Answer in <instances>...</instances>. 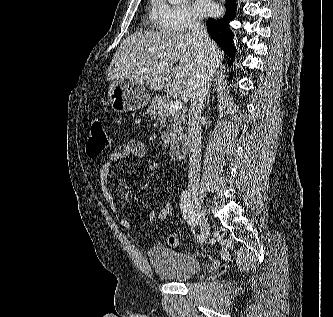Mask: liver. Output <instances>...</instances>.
Wrapping results in <instances>:
<instances>
[{"label": "liver", "instance_id": "liver-1", "mask_svg": "<svg viewBox=\"0 0 333 317\" xmlns=\"http://www.w3.org/2000/svg\"><path fill=\"white\" fill-rule=\"evenodd\" d=\"M208 49L216 69L221 51L212 40ZM208 58L190 33L137 31L116 50L108 79L131 78L154 90L166 89L187 102Z\"/></svg>", "mask_w": 333, "mask_h": 317}]
</instances>
